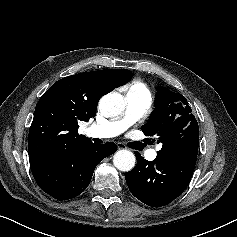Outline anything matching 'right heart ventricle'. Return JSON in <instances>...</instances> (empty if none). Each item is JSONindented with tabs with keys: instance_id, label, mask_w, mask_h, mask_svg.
<instances>
[{
	"instance_id": "e07e8e85",
	"label": "right heart ventricle",
	"mask_w": 237,
	"mask_h": 237,
	"mask_svg": "<svg viewBox=\"0 0 237 237\" xmlns=\"http://www.w3.org/2000/svg\"><path fill=\"white\" fill-rule=\"evenodd\" d=\"M129 91L139 94H149L147 85L142 82H135L134 84H132Z\"/></svg>"
}]
</instances>
